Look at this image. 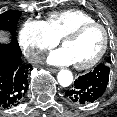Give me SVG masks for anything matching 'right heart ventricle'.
Here are the masks:
<instances>
[{"label": "right heart ventricle", "mask_w": 117, "mask_h": 117, "mask_svg": "<svg viewBox=\"0 0 117 117\" xmlns=\"http://www.w3.org/2000/svg\"><path fill=\"white\" fill-rule=\"evenodd\" d=\"M91 22H95V20L88 13L78 9H68L51 12L48 14L45 24L53 36L60 39L74 28Z\"/></svg>", "instance_id": "e07e8e85"}]
</instances>
